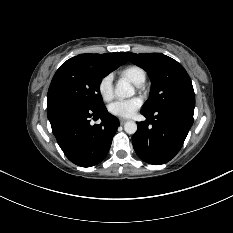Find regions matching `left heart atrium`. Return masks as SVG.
<instances>
[{
  "instance_id": "39dd6f15",
  "label": "left heart atrium",
  "mask_w": 233,
  "mask_h": 233,
  "mask_svg": "<svg viewBox=\"0 0 233 233\" xmlns=\"http://www.w3.org/2000/svg\"><path fill=\"white\" fill-rule=\"evenodd\" d=\"M142 106V99L134 97L128 100H117L108 106L110 114L121 117L130 118L132 117Z\"/></svg>"
}]
</instances>
